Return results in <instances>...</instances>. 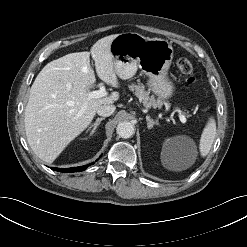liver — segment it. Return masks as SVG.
<instances>
[{
	"instance_id": "1",
	"label": "liver",
	"mask_w": 247,
	"mask_h": 247,
	"mask_svg": "<svg viewBox=\"0 0 247 247\" xmlns=\"http://www.w3.org/2000/svg\"><path fill=\"white\" fill-rule=\"evenodd\" d=\"M117 36L99 39L90 52H76L49 62L33 82L25 108V131L33 152L52 163L64 148L93 120L101 105L119 99L118 92L102 98H88L96 81L90 66V54L98 77L119 87L110 45Z\"/></svg>"
}]
</instances>
